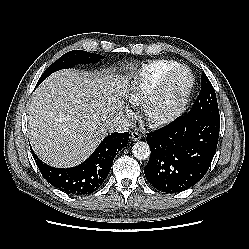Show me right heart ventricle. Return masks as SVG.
<instances>
[{
    "mask_svg": "<svg viewBox=\"0 0 249 249\" xmlns=\"http://www.w3.org/2000/svg\"><path fill=\"white\" fill-rule=\"evenodd\" d=\"M179 65L174 60H154L143 65L132 75L126 97L132 106L143 104L159 85L162 77Z\"/></svg>",
    "mask_w": 249,
    "mask_h": 249,
    "instance_id": "e07e8e85",
    "label": "right heart ventricle"
}]
</instances>
